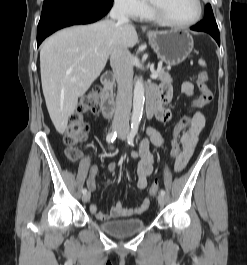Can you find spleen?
<instances>
[{"mask_svg": "<svg viewBox=\"0 0 247 265\" xmlns=\"http://www.w3.org/2000/svg\"><path fill=\"white\" fill-rule=\"evenodd\" d=\"M199 64H200V65H202V66H206V63H205V61H204V60H202V59H200V60H199Z\"/></svg>", "mask_w": 247, "mask_h": 265, "instance_id": "obj_1", "label": "spleen"}]
</instances>
